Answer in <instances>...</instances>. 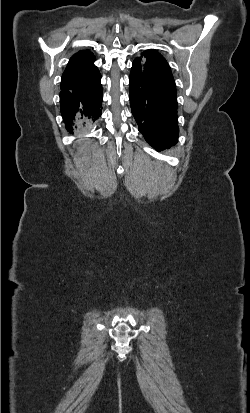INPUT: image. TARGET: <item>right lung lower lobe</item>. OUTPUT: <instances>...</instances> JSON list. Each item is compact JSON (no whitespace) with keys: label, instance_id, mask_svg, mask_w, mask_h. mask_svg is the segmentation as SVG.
Instances as JSON below:
<instances>
[{"label":"right lung lower lobe","instance_id":"98d812e1","mask_svg":"<svg viewBox=\"0 0 250 413\" xmlns=\"http://www.w3.org/2000/svg\"><path fill=\"white\" fill-rule=\"evenodd\" d=\"M97 71L90 79L77 85H61L60 107L67 131L88 130L101 116L102 86Z\"/></svg>","mask_w":250,"mask_h":413}]
</instances>
